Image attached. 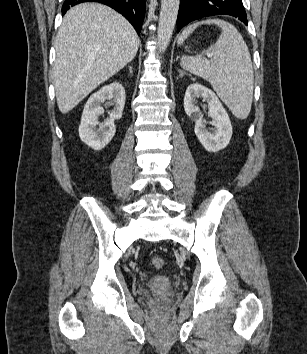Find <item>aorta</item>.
Masks as SVG:
<instances>
[{
    "instance_id": "762f6f07",
    "label": "aorta",
    "mask_w": 307,
    "mask_h": 354,
    "mask_svg": "<svg viewBox=\"0 0 307 354\" xmlns=\"http://www.w3.org/2000/svg\"><path fill=\"white\" fill-rule=\"evenodd\" d=\"M180 0H161V10L157 31V46L164 52L170 43L176 24Z\"/></svg>"
}]
</instances>
